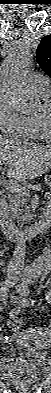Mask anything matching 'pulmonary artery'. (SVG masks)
<instances>
[{"instance_id": "pulmonary-artery-1", "label": "pulmonary artery", "mask_w": 51, "mask_h": 393, "mask_svg": "<svg viewBox=\"0 0 51 393\" xmlns=\"http://www.w3.org/2000/svg\"><path fill=\"white\" fill-rule=\"evenodd\" d=\"M33 82L37 91L45 92V93L50 92L51 86H50V81L47 77L40 74H35L33 76Z\"/></svg>"}]
</instances>
